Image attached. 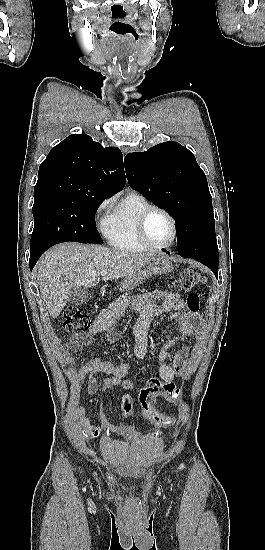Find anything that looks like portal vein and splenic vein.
Listing matches in <instances>:
<instances>
[{
	"label": "portal vein and splenic vein",
	"instance_id": "1",
	"mask_svg": "<svg viewBox=\"0 0 265 550\" xmlns=\"http://www.w3.org/2000/svg\"><path fill=\"white\" fill-rule=\"evenodd\" d=\"M101 275H102V276L106 275V272H101Z\"/></svg>",
	"mask_w": 265,
	"mask_h": 550
}]
</instances>
